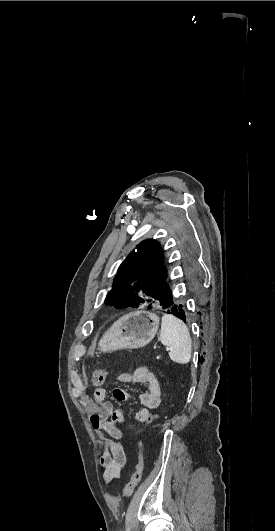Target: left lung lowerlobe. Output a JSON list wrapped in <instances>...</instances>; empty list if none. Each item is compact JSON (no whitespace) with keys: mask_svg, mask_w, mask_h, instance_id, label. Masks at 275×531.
Here are the masks:
<instances>
[{"mask_svg":"<svg viewBox=\"0 0 275 531\" xmlns=\"http://www.w3.org/2000/svg\"><path fill=\"white\" fill-rule=\"evenodd\" d=\"M163 308L166 309V313L172 314L186 322V312L184 310L183 304L172 301L169 306Z\"/></svg>","mask_w":275,"mask_h":531,"instance_id":"0a47b994","label":"left lung lower lobe"}]
</instances>
